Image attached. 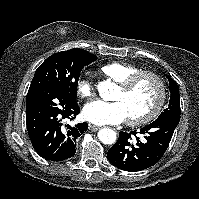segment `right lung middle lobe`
<instances>
[{
	"instance_id": "dd1d6c3e",
	"label": "right lung middle lobe",
	"mask_w": 199,
	"mask_h": 199,
	"mask_svg": "<svg viewBox=\"0 0 199 199\" xmlns=\"http://www.w3.org/2000/svg\"><path fill=\"white\" fill-rule=\"evenodd\" d=\"M96 59L88 51L67 50L55 53L37 68L30 87L50 84L76 100L79 74L84 66Z\"/></svg>"
}]
</instances>
